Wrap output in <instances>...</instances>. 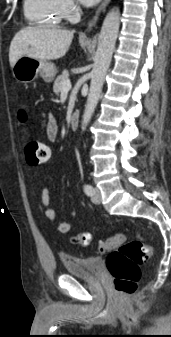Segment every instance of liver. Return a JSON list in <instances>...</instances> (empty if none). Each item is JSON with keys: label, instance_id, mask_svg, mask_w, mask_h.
Masks as SVG:
<instances>
[{"label": "liver", "instance_id": "obj_1", "mask_svg": "<svg viewBox=\"0 0 171 337\" xmlns=\"http://www.w3.org/2000/svg\"><path fill=\"white\" fill-rule=\"evenodd\" d=\"M73 39V31L46 28L27 27L20 30L13 38L9 48L11 67L22 56H28L44 61L63 57Z\"/></svg>", "mask_w": 171, "mask_h": 337}]
</instances>
